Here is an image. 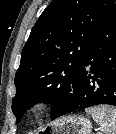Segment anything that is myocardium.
I'll list each match as a JSON object with an SVG mask.
<instances>
[{
  "label": "myocardium",
  "mask_w": 116,
  "mask_h": 134,
  "mask_svg": "<svg viewBox=\"0 0 116 134\" xmlns=\"http://www.w3.org/2000/svg\"><path fill=\"white\" fill-rule=\"evenodd\" d=\"M46 111V104L44 103H39L34 105L31 109H30V117L35 119L40 117L44 112Z\"/></svg>",
  "instance_id": "obj_1"
}]
</instances>
